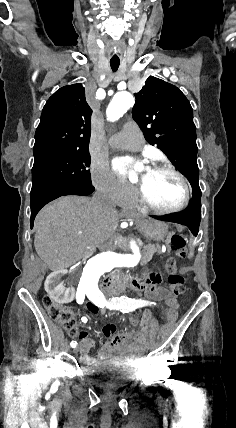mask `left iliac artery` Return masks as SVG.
Segmentation results:
<instances>
[{"label": "left iliac artery", "mask_w": 236, "mask_h": 428, "mask_svg": "<svg viewBox=\"0 0 236 428\" xmlns=\"http://www.w3.org/2000/svg\"><path fill=\"white\" fill-rule=\"evenodd\" d=\"M90 301H92L96 306L103 308L107 307L110 310L116 309L123 313H128L129 311H133L139 307H143L149 304V301L144 300H135L125 296H121L120 298H112L110 302H107L103 293L101 291H87L85 292ZM154 304L151 302L149 305Z\"/></svg>", "instance_id": "1"}]
</instances>
